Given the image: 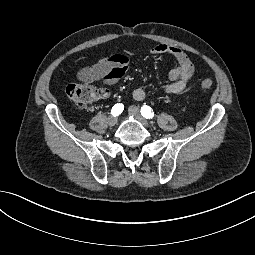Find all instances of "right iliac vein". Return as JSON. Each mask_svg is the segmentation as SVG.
I'll use <instances>...</instances> for the list:
<instances>
[{
    "label": "right iliac vein",
    "mask_w": 255,
    "mask_h": 255,
    "mask_svg": "<svg viewBox=\"0 0 255 255\" xmlns=\"http://www.w3.org/2000/svg\"><path fill=\"white\" fill-rule=\"evenodd\" d=\"M116 123H117V118L116 117L111 116V117L108 118L109 126H115Z\"/></svg>",
    "instance_id": "63e3f726"
}]
</instances>
